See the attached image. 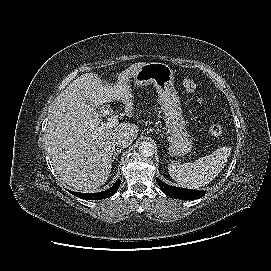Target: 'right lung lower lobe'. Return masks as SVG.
I'll list each match as a JSON object with an SVG mask.
<instances>
[{
    "label": "right lung lower lobe",
    "mask_w": 271,
    "mask_h": 271,
    "mask_svg": "<svg viewBox=\"0 0 271 271\" xmlns=\"http://www.w3.org/2000/svg\"><path fill=\"white\" fill-rule=\"evenodd\" d=\"M120 186V180H117L116 183L109 188L108 190H105L103 192H99V193H78V192H74V191H70L68 190L71 194L82 198V199H87V200H100V199H105L108 198L110 196H112L113 194H115L118 190Z\"/></svg>",
    "instance_id": "right-lung-lower-lobe-1"
}]
</instances>
